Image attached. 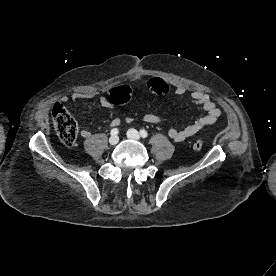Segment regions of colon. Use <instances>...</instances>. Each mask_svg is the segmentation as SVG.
<instances>
[{
    "instance_id": "colon-1",
    "label": "colon",
    "mask_w": 276,
    "mask_h": 276,
    "mask_svg": "<svg viewBox=\"0 0 276 276\" xmlns=\"http://www.w3.org/2000/svg\"><path fill=\"white\" fill-rule=\"evenodd\" d=\"M150 88L158 92L164 91L168 86L161 79H152L149 81ZM132 92L127 88L113 89L108 93V99L112 104H120L131 99ZM54 129L60 140L68 146H72L78 136V125L76 120L70 115L67 109L60 103H56L51 110ZM203 143L199 140L192 144L195 151H200Z\"/></svg>"
}]
</instances>
